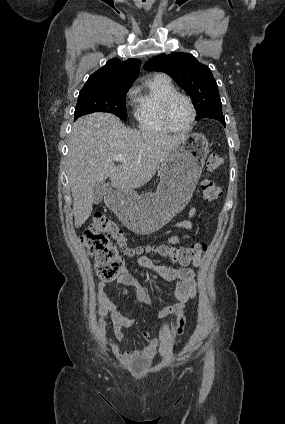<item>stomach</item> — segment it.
<instances>
[{"mask_svg": "<svg viewBox=\"0 0 285 424\" xmlns=\"http://www.w3.org/2000/svg\"><path fill=\"white\" fill-rule=\"evenodd\" d=\"M208 153L209 143L204 136L186 137L161 163L155 193L138 195L117 190L108 206L136 233L162 228L189 203Z\"/></svg>", "mask_w": 285, "mask_h": 424, "instance_id": "0dacf381", "label": "stomach"}]
</instances>
